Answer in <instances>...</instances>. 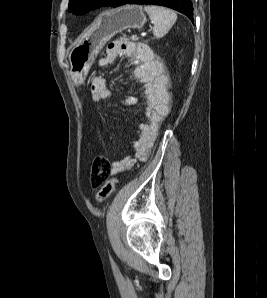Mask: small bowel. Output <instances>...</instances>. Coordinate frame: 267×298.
Wrapping results in <instances>:
<instances>
[{
    "instance_id": "1",
    "label": "small bowel",
    "mask_w": 267,
    "mask_h": 298,
    "mask_svg": "<svg viewBox=\"0 0 267 298\" xmlns=\"http://www.w3.org/2000/svg\"><path fill=\"white\" fill-rule=\"evenodd\" d=\"M118 57H126L133 64L132 76L142 85L144 90L145 112L139 125L137 137L133 142V153L119 158L112 163V173L130 169L136 159L144 161L153 146L160 126L170 112L171 96L169 93V72L162 61L142 44L129 41H114L107 47L106 54L99 65L106 67ZM91 98L95 103H104L112 96L108 79L104 76H92L89 81ZM137 97H128L126 103L136 104ZM106 121L107 118L104 117Z\"/></svg>"
}]
</instances>
